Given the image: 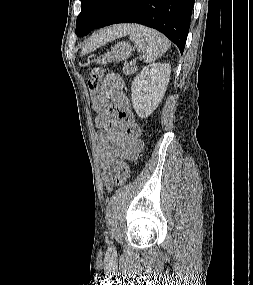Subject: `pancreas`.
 Wrapping results in <instances>:
<instances>
[{"mask_svg": "<svg viewBox=\"0 0 253 285\" xmlns=\"http://www.w3.org/2000/svg\"><path fill=\"white\" fill-rule=\"evenodd\" d=\"M136 70H137V68H136L135 66H131V67L125 66V67L123 68V73H124L125 75H131V74H133L134 72H136Z\"/></svg>", "mask_w": 253, "mask_h": 285, "instance_id": "1", "label": "pancreas"}]
</instances>
